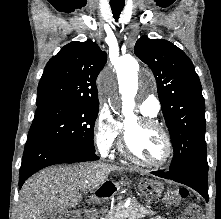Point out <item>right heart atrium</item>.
Returning <instances> with one entry per match:
<instances>
[{
  "label": "right heart atrium",
  "mask_w": 221,
  "mask_h": 219,
  "mask_svg": "<svg viewBox=\"0 0 221 219\" xmlns=\"http://www.w3.org/2000/svg\"><path fill=\"white\" fill-rule=\"evenodd\" d=\"M121 130V123L108 108L102 107L93 126L95 145L101 155L106 156L113 151Z\"/></svg>",
  "instance_id": "obj_1"
}]
</instances>
